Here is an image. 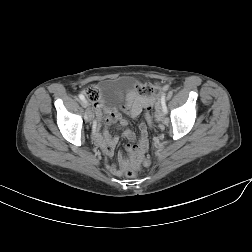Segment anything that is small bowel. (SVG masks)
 <instances>
[{"mask_svg":"<svg viewBox=\"0 0 252 252\" xmlns=\"http://www.w3.org/2000/svg\"><path fill=\"white\" fill-rule=\"evenodd\" d=\"M166 88V86L164 87ZM154 104V99L138 94L136 92H130L126 97V103L119 107L105 106L103 102H98L94 105L96 112V119L98 123L95 135H92L93 140L98 144L104 154L107 157L113 155V149L119 140L118 135H112L108 130L102 131L103 125L117 124L118 127L124 129L122 136L128 141L126 146V152H120L118 154V165L109 164V170L115 175H122L123 172L132 164L143 163L145 166L150 164L149 159H146L145 153L149 147V134H148V124L146 122H141L140 128V138L137 143L134 132L131 129L126 128L128 125V120L121 116L120 111H125L132 118L138 117L144 109L152 106Z\"/></svg>","mask_w":252,"mask_h":252,"instance_id":"c3829d8e","label":"small bowel"}]
</instances>
